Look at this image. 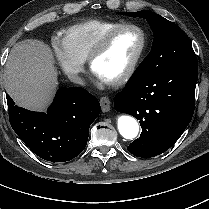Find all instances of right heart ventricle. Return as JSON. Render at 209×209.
<instances>
[{"label":"right heart ventricle","mask_w":209,"mask_h":209,"mask_svg":"<svg viewBox=\"0 0 209 209\" xmlns=\"http://www.w3.org/2000/svg\"><path fill=\"white\" fill-rule=\"evenodd\" d=\"M119 21L88 19L72 24L63 30V40L71 53L81 61L88 58L101 36Z\"/></svg>","instance_id":"obj_1"}]
</instances>
